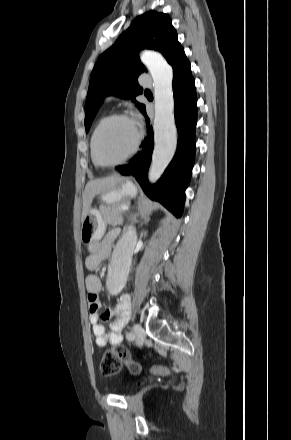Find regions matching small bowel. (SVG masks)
<instances>
[{"mask_svg": "<svg viewBox=\"0 0 291 440\" xmlns=\"http://www.w3.org/2000/svg\"><path fill=\"white\" fill-rule=\"evenodd\" d=\"M119 232L118 229H113L102 240H97L90 245V254L86 258V266L89 270H96L101 261L110 255L113 243L118 237ZM85 286L88 291V308L96 344L99 347L117 344L121 340L120 333L114 326H111L109 332L106 333L101 325V319L109 315H115L118 323L125 322L131 313L130 296L122 294L118 298L117 304L111 310L101 312L98 294L102 289V283L99 276L94 273L88 274L85 278Z\"/></svg>", "mask_w": 291, "mask_h": 440, "instance_id": "obj_1", "label": "small bowel"}]
</instances>
